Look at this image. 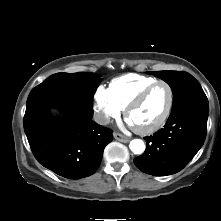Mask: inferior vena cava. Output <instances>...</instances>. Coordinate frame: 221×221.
<instances>
[{
  "instance_id": "obj_1",
  "label": "inferior vena cava",
  "mask_w": 221,
  "mask_h": 221,
  "mask_svg": "<svg viewBox=\"0 0 221 221\" xmlns=\"http://www.w3.org/2000/svg\"><path fill=\"white\" fill-rule=\"evenodd\" d=\"M93 119L100 125H107L110 122V118L103 113H95Z\"/></svg>"
}]
</instances>
